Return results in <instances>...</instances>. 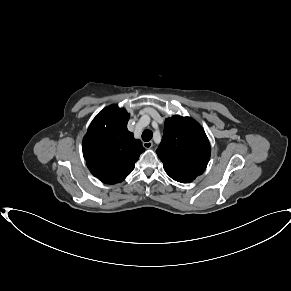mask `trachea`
I'll return each instance as SVG.
<instances>
[{
    "mask_svg": "<svg viewBox=\"0 0 291 291\" xmlns=\"http://www.w3.org/2000/svg\"><path fill=\"white\" fill-rule=\"evenodd\" d=\"M151 138H152V131L149 129L144 130L142 133V140L145 142H148L151 140Z\"/></svg>",
    "mask_w": 291,
    "mask_h": 291,
    "instance_id": "trachea-1",
    "label": "trachea"
}]
</instances>
